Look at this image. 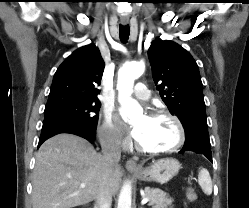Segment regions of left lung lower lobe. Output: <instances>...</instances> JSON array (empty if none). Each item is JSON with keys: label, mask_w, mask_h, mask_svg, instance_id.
<instances>
[{"label": "left lung lower lobe", "mask_w": 249, "mask_h": 208, "mask_svg": "<svg viewBox=\"0 0 249 208\" xmlns=\"http://www.w3.org/2000/svg\"><path fill=\"white\" fill-rule=\"evenodd\" d=\"M185 151H193L195 153L204 154L212 162L211 144L208 132L196 130L186 136L185 144L180 153Z\"/></svg>", "instance_id": "left-lung-lower-lobe-1"}]
</instances>
